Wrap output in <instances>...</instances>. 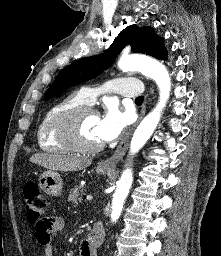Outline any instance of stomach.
I'll return each mask as SVG.
<instances>
[{"label": "stomach", "mask_w": 221, "mask_h": 256, "mask_svg": "<svg viewBox=\"0 0 221 256\" xmlns=\"http://www.w3.org/2000/svg\"><path fill=\"white\" fill-rule=\"evenodd\" d=\"M98 174H106L111 171L110 168L97 167ZM62 178L59 173L55 171H46L39 177V187L46 194L51 196H59L62 192Z\"/></svg>", "instance_id": "0dacf381"}]
</instances>
